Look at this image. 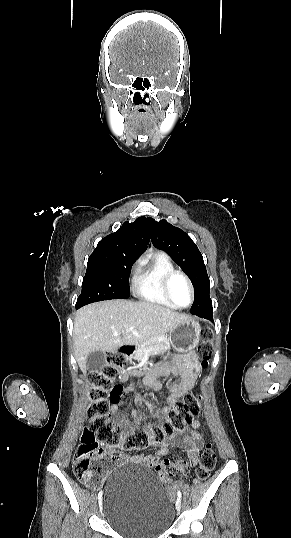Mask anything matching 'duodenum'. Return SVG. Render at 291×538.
Instances as JSON below:
<instances>
[{
  "label": "duodenum",
  "instance_id": "1",
  "mask_svg": "<svg viewBox=\"0 0 291 538\" xmlns=\"http://www.w3.org/2000/svg\"><path fill=\"white\" fill-rule=\"evenodd\" d=\"M123 354L127 357H130L134 354L135 352V348L134 347H131V346H128V347H124L123 350H122Z\"/></svg>",
  "mask_w": 291,
  "mask_h": 538
}]
</instances>
